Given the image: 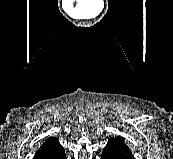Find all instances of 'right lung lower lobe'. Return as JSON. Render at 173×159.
I'll return each instance as SVG.
<instances>
[{"label": "right lung lower lobe", "instance_id": "1", "mask_svg": "<svg viewBox=\"0 0 173 159\" xmlns=\"http://www.w3.org/2000/svg\"><path fill=\"white\" fill-rule=\"evenodd\" d=\"M42 159H66L65 151L62 149L56 153L43 157Z\"/></svg>", "mask_w": 173, "mask_h": 159}]
</instances>
